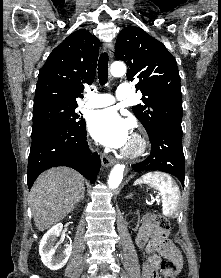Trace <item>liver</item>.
I'll return each mask as SVG.
<instances>
[{"mask_svg":"<svg viewBox=\"0 0 221 278\" xmlns=\"http://www.w3.org/2000/svg\"><path fill=\"white\" fill-rule=\"evenodd\" d=\"M83 177L73 169L56 167L43 172L30 191V207L39 231L63 220L84 190Z\"/></svg>","mask_w":221,"mask_h":278,"instance_id":"liver-1","label":"liver"}]
</instances>
